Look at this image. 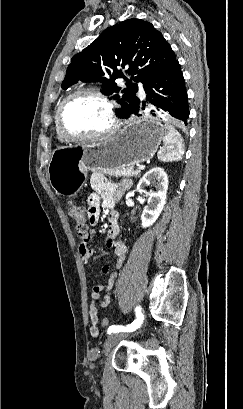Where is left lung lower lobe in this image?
<instances>
[{
    "mask_svg": "<svg viewBox=\"0 0 243 409\" xmlns=\"http://www.w3.org/2000/svg\"><path fill=\"white\" fill-rule=\"evenodd\" d=\"M147 102L138 101L122 118L131 114L138 115L140 110H147L153 116H172L187 125L189 117L188 97L184 78L178 60L153 76L144 85Z\"/></svg>",
    "mask_w": 243,
    "mask_h": 409,
    "instance_id": "obj_1",
    "label": "left lung lower lobe"
}]
</instances>
